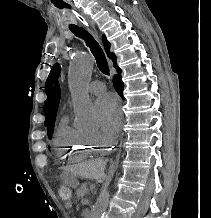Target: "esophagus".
I'll return each mask as SVG.
<instances>
[{
  "label": "esophagus",
  "mask_w": 211,
  "mask_h": 218,
  "mask_svg": "<svg viewBox=\"0 0 211 218\" xmlns=\"http://www.w3.org/2000/svg\"><path fill=\"white\" fill-rule=\"evenodd\" d=\"M87 29L91 33H93L96 36L97 39H99L94 24L89 23L88 26H87ZM122 119H123V115H122Z\"/></svg>",
  "instance_id": "34e87169"
}]
</instances>
